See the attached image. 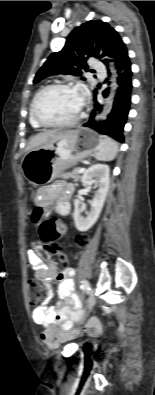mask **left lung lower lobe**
Returning <instances> with one entry per match:
<instances>
[{
	"instance_id": "left-lung-lower-lobe-1",
	"label": "left lung lower lobe",
	"mask_w": 155,
	"mask_h": 395,
	"mask_svg": "<svg viewBox=\"0 0 155 395\" xmlns=\"http://www.w3.org/2000/svg\"><path fill=\"white\" fill-rule=\"evenodd\" d=\"M118 84L113 109L108 115L106 121L96 123L94 121L95 112L101 108L96 100V91L94 96V111L84 126L95 129L101 134H106L119 142L124 141L123 130L130 110L131 91H132V71L129 56H125L117 65ZM108 82V81H107ZM108 93V89L104 91V96Z\"/></svg>"
}]
</instances>
